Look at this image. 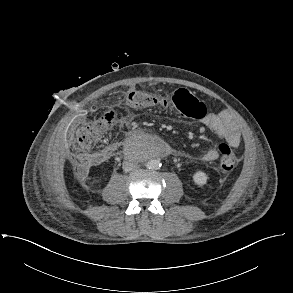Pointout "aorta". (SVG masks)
<instances>
[{
    "instance_id": "obj_1",
    "label": "aorta",
    "mask_w": 293,
    "mask_h": 293,
    "mask_svg": "<svg viewBox=\"0 0 293 293\" xmlns=\"http://www.w3.org/2000/svg\"><path fill=\"white\" fill-rule=\"evenodd\" d=\"M160 166H161V163H160V161L157 160V159H151V160H149V161L146 163V167H147L148 169L157 170V169L160 168Z\"/></svg>"
}]
</instances>
